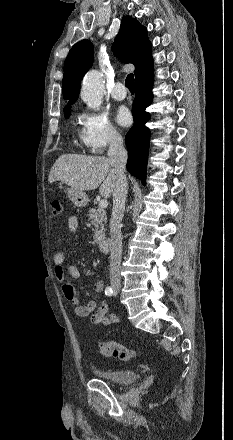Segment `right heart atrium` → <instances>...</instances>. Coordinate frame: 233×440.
<instances>
[{
  "mask_svg": "<svg viewBox=\"0 0 233 440\" xmlns=\"http://www.w3.org/2000/svg\"><path fill=\"white\" fill-rule=\"evenodd\" d=\"M80 140L93 154H101L107 147L117 145L122 136L107 115L100 111L84 110L79 114Z\"/></svg>",
  "mask_w": 233,
  "mask_h": 440,
  "instance_id": "obj_1",
  "label": "right heart atrium"
}]
</instances>
